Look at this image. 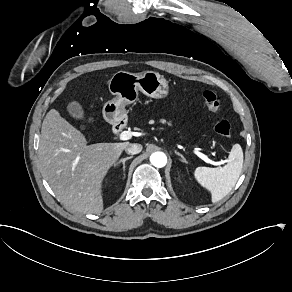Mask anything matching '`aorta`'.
<instances>
[{
    "instance_id": "aorta-1",
    "label": "aorta",
    "mask_w": 292,
    "mask_h": 292,
    "mask_svg": "<svg viewBox=\"0 0 292 292\" xmlns=\"http://www.w3.org/2000/svg\"><path fill=\"white\" fill-rule=\"evenodd\" d=\"M150 162L153 166L162 168L167 164V157L164 153L157 152L150 156Z\"/></svg>"
}]
</instances>
